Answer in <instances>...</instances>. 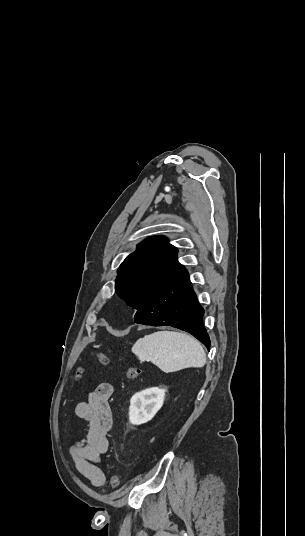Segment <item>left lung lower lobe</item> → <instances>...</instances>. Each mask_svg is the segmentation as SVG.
<instances>
[{"instance_id":"0a47b994","label":"left lung lower lobe","mask_w":305,"mask_h":536,"mask_svg":"<svg viewBox=\"0 0 305 536\" xmlns=\"http://www.w3.org/2000/svg\"><path fill=\"white\" fill-rule=\"evenodd\" d=\"M203 314L185 271L143 303L134 320L137 324L173 326L187 331L209 350L210 339L203 327Z\"/></svg>"}]
</instances>
